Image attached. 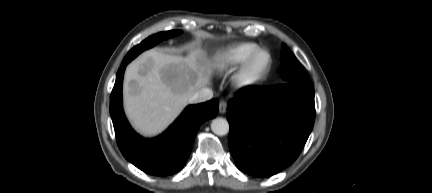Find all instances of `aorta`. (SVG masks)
<instances>
[{
    "mask_svg": "<svg viewBox=\"0 0 432 193\" xmlns=\"http://www.w3.org/2000/svg\"><path fill=\"white\" fill-rule=\"evenodd\" d=\"M211 130L216 135L224 136L229 132V123L224 118H215L211 122Z\"/></svg>",
    "mask_w": 432,
    "mask_h": 193,
    "instance_id": "1",
    "label": "aorta"
}]
</instances>
